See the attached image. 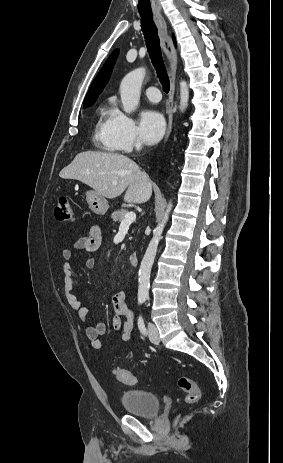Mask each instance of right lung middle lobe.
<instances>
[{"label":"right lung middle lobe","mask_w":283,"mask_h":463,"mask_svg":"<svg viewBox=\"0 0 283 463\" xmlns=\"http://www.w3.org/2000/svg\"><path fill=\"white\" fill-rule=\"evenodd\" d=\"M89 106H91V105H84V108H87V107H89Z\"/></svg>","instance_id":"right-lung-middle-lobe-1"}]
</instances>
